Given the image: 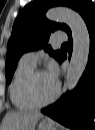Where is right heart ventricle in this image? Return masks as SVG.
I'll list each match as a JSON object with an SVG mask.
<instances>
[{"instance_id":"obj_1","label":"right heart ventricle","mask_w":95,"mask_h":130,"mask_svg":"<svg viewBox=\"0 0 95 130\" xmlns=\"http://www.w3.org/2000/svg\"><path fill=\"white\" fill-rule=\"evenodd\" d=\"M34 66L20 60L17 65L10 85V99L12 104L21 111H28L37 108L26 97L25 83L28 75L33 71Z\"/></svg>"}]
</instances>
